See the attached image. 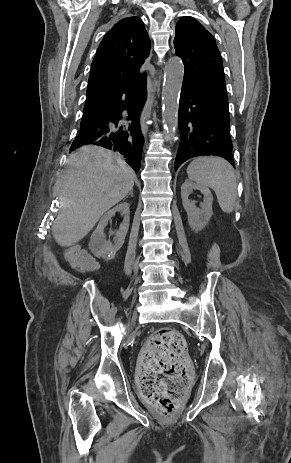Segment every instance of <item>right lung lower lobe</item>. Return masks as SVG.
I'll use <instances>...</instances> for the list:
<instances>
[{
	"label": "right lung lower lobe",
	"mask_w": 291,
	"mask_h": 463,
	"mask_svg": "<svg viewBox=\"0 0 291 463\" xmlns=\"http://www.w3.org/2000/svg\"><path fill=\"white\" fill-rule=\"evenodd\" d=\"M146 88L140 90L124 104L107 114L91 120L82 118L80 131L71 151L87 144L99 145L120 154L138 172L141 164L144 138L140 126V112L146 101ZM123 111L128 112L131 123L122 125Z\"/></svg>",
	"instance_id": "1"
}]
</instances>
